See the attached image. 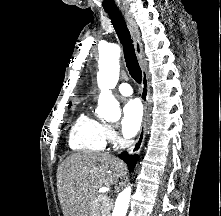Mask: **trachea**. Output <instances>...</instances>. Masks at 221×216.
Listing matches in <instances>:
<instances>
[{
    "label": "trachea",
    "mask_w": 221,
    "mask_h": 216,
    "mask_svg": "<svg viewBox=\"0 0 221 216\" xmlns=\"http://www.w3.org/2000/svg\"><path fill=\"white\" fill-rule=\"evenodd\" d=\"M106 12L111 19L112 25L119 37L121 44L123 45L124 58L128 71L131 77L140 84L142 80V71L139 66L131 35L125 20L123 19L119 10H109Z\"/></svg>",
    "instance_id": "1"
}]
</instances>
